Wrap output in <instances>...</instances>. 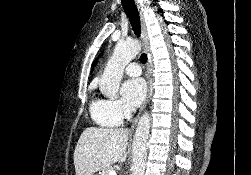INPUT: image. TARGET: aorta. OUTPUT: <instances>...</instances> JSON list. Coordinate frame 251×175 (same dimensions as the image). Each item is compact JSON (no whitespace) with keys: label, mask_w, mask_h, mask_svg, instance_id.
Masks as SVG:
<instances>
[{"label":"aorta","mask_w":251,"mask_h":175,"mask_svg":"<svg viewBox=\"0 0 251 175\" xmlns=\"http://www.w3.org/2000/svg\"><path fill=\"white\" fill-rule=\"evenodd\" d=\"M140 44L138 40L131 42H118L99 82V89L108 97H115L118 93L124 68L139 54ZM150 115L145 111L141 115L133 137L132 175H144L146 169L147 139L150 129Z\"/></svg>","instance_id":"1"}]
</instances>
